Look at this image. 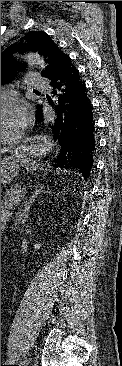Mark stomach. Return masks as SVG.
Listing matches in <instances>:
<instances>
[{
    "label": "stomach",
    "mask_w": 122,
    "mask_h": 366,
    "mask_svg": "<svg viewBox=\"0 0 122 366\" xmlns=\"http://www.w3.org/2000/svg\"><path fill=\"white\" fill-rule=\"evenodd\" d=\"M38 142H32L30 148L36 146L34 143ZM19 162L20 159L16 154L1 157V184L10 182L18 174Z\"/></svg>",
    "instance_id": "1"
}]
</instances>
